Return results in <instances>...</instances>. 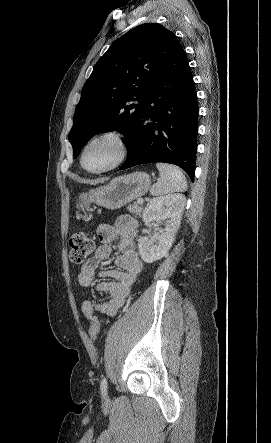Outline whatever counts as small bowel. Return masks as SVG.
<instances>
[{
	"label": "small bowel",
	"mask_w": 271,
	"mask_h": 443,
	"mask_svg": "<svg viewBox=\"0 0 271 443\" xmlns=\"http://www.w3.org/2000/svg\"><path fill=\"white\" fill-rule=\"evenodd\" d=\"M137 221L131 216H122L114 224H102L98 228V238L101 242L93 257L86 261L78 274L81 286L88 287L97 277L109 278L96 285V290L109 295V299L99 302L94 299L85 300L82 312L87 320L94 317L95 312L106 318L114 317L124 305L136 277L143 269V261L135 248ZM117 241L119 254L116 258L117 269H101L102 262L112 254V244Z\"/></svg>",
	"instance_id": "c3829d8e"
}]
</instances>
